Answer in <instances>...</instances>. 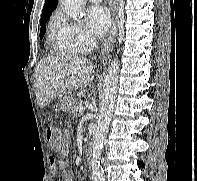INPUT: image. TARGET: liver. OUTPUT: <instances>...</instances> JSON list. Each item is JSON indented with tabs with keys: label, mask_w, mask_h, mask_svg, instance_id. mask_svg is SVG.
Here are the masks:
<instances>
[{
	"label": "liver",
	"mask_w": 197,
	"mask_h": 181,
	"mask_svg": "<svg viewBox=\"0 0 197 181\" xmlns=\"http://www.w3.org/2000/svg\"><path fill=\"white\" fill-rule=\"evenodd\" d=\"M95 65L79 56L62 55L43 58L34 70L37 104L48 105L57 95L88 86Z\"/></svg>",
	"instance_id": "obj_1"
}]
</instances>
